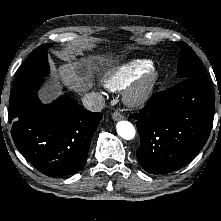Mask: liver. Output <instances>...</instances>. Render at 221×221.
I'll list each match as a JSON object with an SVG mask.
<instances>
[{
    "label": "liver",
    "instance_id": "1",
    "mask_svg": "<svg viewBox=\"0 0 221 221\" xmlns=\"http://www.w3.org/2000/svg\"><path fill=\"white\" fill-rule=\"evenodd\" d=\"M95 61L101 65L109 64L112 62V57L93 56L88 59H82L81 61H70L60 65L56 69V72L59 78L72 90L87 92L92 85L90 77L92 69L95 68ZM41 96L45 102L50 98V95L46 91Z\"/></svg>",
    "mask_w": 221,
    "mask_h": 221
}]
</instances>
